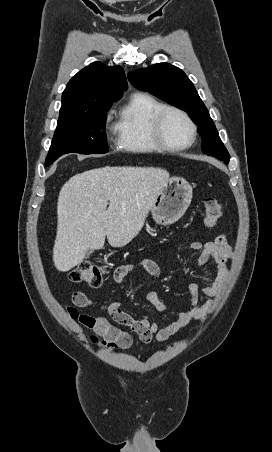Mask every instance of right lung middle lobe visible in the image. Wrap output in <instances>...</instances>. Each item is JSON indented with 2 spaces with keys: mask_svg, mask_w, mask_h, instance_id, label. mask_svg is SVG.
<instances>
[{
  "mask_svg": "<svg viewBox=\"0 0 272 452\" xmlns=\"http://www.w3.org/2000/svg\"><path fill=\"white\" fill-rule=\"evenodd\" d=\"M110 107L78 116L59 118L45 165L49 166L58 157L71 152L106 153L108 145L105 123L106 112Z\"/></svg>",
  "mask_w": 272,
  "mask_h": 452,
  "instance_id": "obj_1",
  "label": "right lung middle lobe"
}]
</instances>
